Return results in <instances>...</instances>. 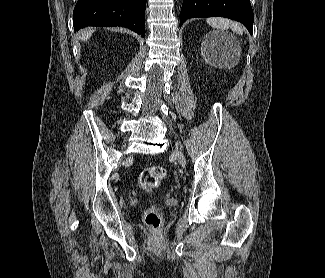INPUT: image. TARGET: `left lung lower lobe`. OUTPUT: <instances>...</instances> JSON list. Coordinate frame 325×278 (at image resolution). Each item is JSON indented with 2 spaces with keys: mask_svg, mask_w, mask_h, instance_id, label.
I'll use <instances>...</instances> for the list:
<instances>
[{
  "mask_svg": "<svg viewBox=\"0 0 325 278\" xmlns=\"http://www.w3.org/2000/svg\"><path fill=\"white\" fill-rule=\"evenodd\" d=\"M212 16L239 21L252 35L254 15L249 0H184L180 26L189 18Z\"/></svg>",
  "mask_w": 325,
  "mask_h": 278,
  "instance_id": "left-lung-lower-lobe-1",
  "label": "left lung lower lobe"
}]
</instances>
